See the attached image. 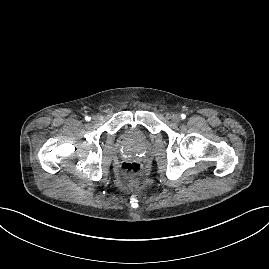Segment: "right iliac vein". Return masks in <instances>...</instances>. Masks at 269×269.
<instances>
[{
    "label": "right iliac vein",
    "instance_id": "63e3f726",
    "mask_svg": "<svg viewBox=\"0 0 269 269\" xmlns=\"http://www.w3.org/2000/svg\"><path fill=\"white\" fill-rule=\"evenodd\" d=\"M92 123H96V122H98V120H99V117L98 116H92Z\"/></svg>",
    "mask_w": 269,
    "mask_h": 269
}]
</instances>
